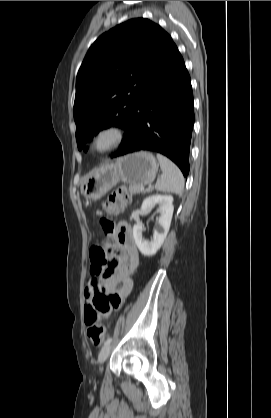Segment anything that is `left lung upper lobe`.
<instances>
[{"mask_svg":"<svg viewBox=\"0 0 271 418\" xmlns=\"http://www.w3.org/2000/svg\"><path fill=\"white\" fill-rule=\"evenodd\" d=\"M172 43L159 25L135 18L92 44L76 78L73 114L79 150L86 151L85 144L103 128H125Z\"/></svg>","mask_w":271,"mask_h":418,"instance_id":"obj_1","label":"left lung upper lobe"}]
</instances>
